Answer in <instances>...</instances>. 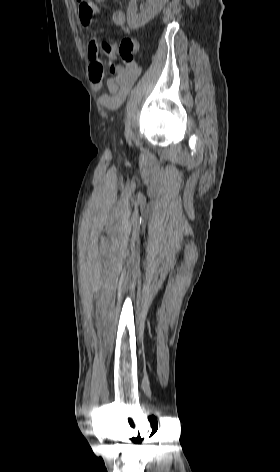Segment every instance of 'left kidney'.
<instances>
[{"label": "left kidney", "instance_id": "5707ae66", "mask_svg": "<svg viewBox=\"0 0 280 472\" xmlns=\"http://www.w3.org/2000/svg\"><path fill=\"white\" fill-rule=\"evenodd\" d=\"M137 0H131L127 9V22L130 28L138 29L148 23L161 10L168 0H147L145 8L137 14Z\"/></svg>", "mask_w": 280, "mask_h": 472}]
</instances>
